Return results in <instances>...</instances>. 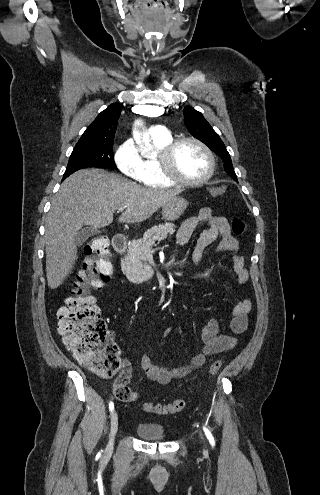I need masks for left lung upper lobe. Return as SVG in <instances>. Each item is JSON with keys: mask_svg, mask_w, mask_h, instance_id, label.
<instances>
[{"mask_svg": "<svg viewBox=\"0 0 320 495\" xmlns=\"http://www.w3.org/2000/svg\"><path fill=\"white\" fill-rule=\"evenodd\" d=\"M183 113L185 124L189 132L195 138L206 144L224 161L223 166L225 172L230 175L235 181H237V176L234 172L231 158L219 135L204 119L203 115L200 112L196 111L194 108L186 106Z\"/></svg>", "mask_w": 320, "mask_h": 495, "instance_id": "5c2ea615", "label": "left lung upper lobe"}]
</instances>
